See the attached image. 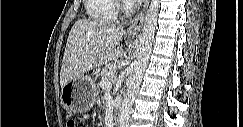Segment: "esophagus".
Returning a JSON list of instances; mask_svg holds the SVG:
<instances>
[{
    "label": "esophagus",
    "instance_id": "esophagus-1",
    "mask_svg": "<svg viewBox=\"0 0 243 127\" xmlns=\"http://www.w3.org/2000/svg\"><path fill=\"white\" fill-rule=\"evenodd\" d=\"M150 0H145L144 5L140 13L132 20L130 27L127 31L128 34H138L145 21V15L149 6Z\"/></svg>",
    "mask_w": 243,
    "mask_h": 127
}]
</instances>
